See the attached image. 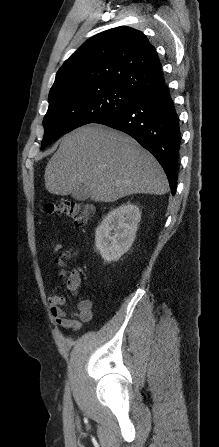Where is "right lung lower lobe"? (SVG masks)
<instances>
[{
	"instance_id": "98d812e1",
	"label": "right lung lower lobe",
	"mask_w": 219,
	"mask_h": 447,
	"mask_svg": "<svg viewBox=\"0 0 219 447\" xmlns=\"http://www.w3.org/2000/svg\"><path fill=\"white\" fill-rule=\"evenodd\" d=\"M95 123L127 133L150 151L163 167L172 195L175 194L181 133L179 117L165 84Z\"/></svg>"
}]
</instances>
